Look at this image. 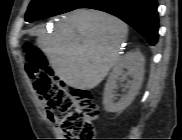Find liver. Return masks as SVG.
<instances>
[{
    "label": "liver",
    "instance_id": "liver-1",
    "mask_svg": "<svg viewBox=\"0 0 182 140\" xmlns=\"http://www.w3.org/2000/svg\"><path fill=\"white\" fill-rule=\"evenodd\" d=\"M31 30L50 67L67 85L93 89L119 60L128 27L108 13L77 9L61 19L50 35Z\"/></svg>",
    "mask_w": 182,
    "mask_h": 140
}]
</instances>
